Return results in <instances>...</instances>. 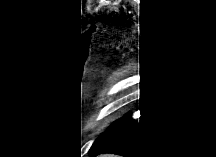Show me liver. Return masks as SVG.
<instances>
[{"mask_svg":"<svg viewBox=\"0 0 216 157\" xmlns=\"http://www.w3.org/2000/svg\"><path fill=\"white\" fill-rule=\"evenodd\" d=\"M104 157H114V156L111 155V154H107V155H105Z\"/></svg>","mask_w":216,"mask_h":157,"instance_id":"liver-1","label":"liver"}]
</instances>
